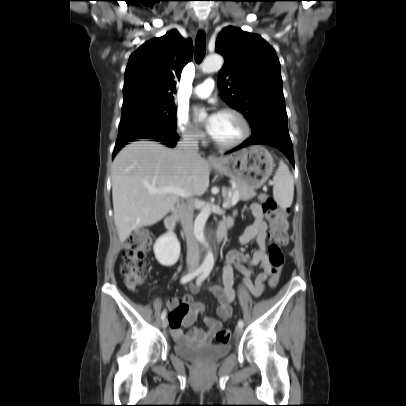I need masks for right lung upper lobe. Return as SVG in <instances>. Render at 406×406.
I'll use <instances>...</instances> for the list:
<instances>
[{"mask_svg":"<svg viewBox=\"0 0 406 406\" xmlns=\"http://www.w3.org/2000/svg\"><path fill=\"white\" fill-rule=\"evenodd\" d=\"M192 54V41L177 30L145 42L129 57L122 107L147 102L174 104L177 79Z\"/></svg>","mask_w":406,"mask_h":406,"instance_id":"obj_1","label":"right lung upper lobe"}]
</instances>
